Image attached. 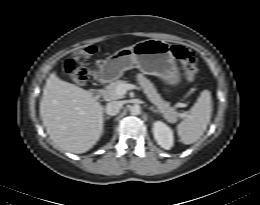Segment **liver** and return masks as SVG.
<instances>
[{
	"instance_id": "1",
	"label": "liver",
	"mask_w": 260,
	"mask_h": 205,
	"mask_svg": "<svg viewBox=\"0 0 260 205\" xmlns=\"http://www.w3.org/2000/svg\"><path fill=\"white\" fill-rule=\"evenodd\" d=\"M40 116L47 134L63 151L85 153L99 140L103 107L91 92L51 73L43 89Z\"/></svg>"
}]
</instances>
